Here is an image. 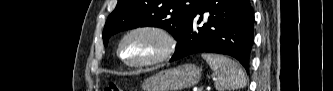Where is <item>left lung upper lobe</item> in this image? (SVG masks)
I'll use <instances>...</instances> for the list:
<instances>
[{"label":"left lung upper lobe","instance_id":"left-lung-upper-lobe-1","mask_svg":"<svg viewBox=\"0 0 333 91\" xmlns=\"http://www.w3.org/2000/svg\"><path fill=\"white\" fill-rule=\"evenodd\" d=\"M201 0H118L115 10L109 15L103 41L123 30L143 26L166 29L176 39Z\"/></svg>","mask_w":333,"mask_h":91}]
</instances>
